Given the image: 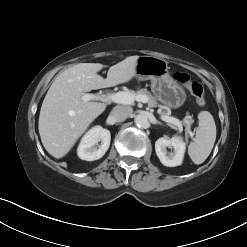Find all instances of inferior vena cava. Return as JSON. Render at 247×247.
<instances>
[{
  "instance_id": "1",
  "label": "inferior vena cava",
  "mask_w": 247,
  "mask_h": 247,
  "mask_svg": "<svg viewBox=\"0 0 247 247\" xmlns=\"http://www.w3.org/2000/svg\"><path fill=\"white\" fill-rule=\"evenodd\" d=\"M133 112V109L129 106H115L110 116L115 122L125 121Z\"/></svg>"
}]
</instances>
